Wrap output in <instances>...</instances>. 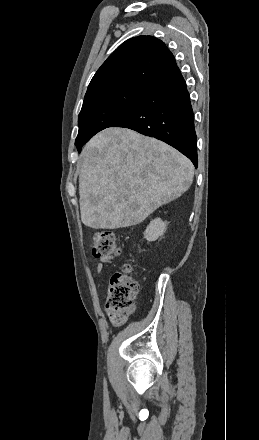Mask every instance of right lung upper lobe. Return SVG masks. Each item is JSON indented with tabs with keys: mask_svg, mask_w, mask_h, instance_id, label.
Listing matches in <instances>:
<instances>
[{
	"mask_svg": "<svg viewBox=\"0 0 259 440\" xmlns=\"http://www.w3.org/2000/svg\"><path fill=\"white\" fill-rule=\"evenodd\" d=\"M175 66L173 54L161 40L145 35L128 39L95 73L84 102L120 89H149Z\"/></svg>",
	"mask_w": 259,
	"mask_h": 440,
	"instance_id": "cb5924a9",
	"label": "right lung upper lobe"
}]
</instances>
